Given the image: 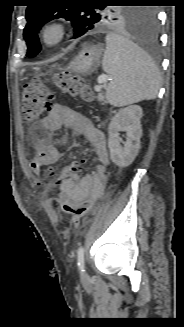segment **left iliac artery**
<instances>
[{"label": "left iliac artery", "instance_id": "left-iliac-artery-1", "mask_svg": "<svg viewBox=\"0 0 184 327\" xmlns=\"http://www.w3.org/2000/svg\"><path fill=\"white\" fill-rule=\"evenodd\" d=\"M77 264L81 272H84V247H80L77 251Z\"/></svg>", "mask_w": 184, "mask_h": 327}]
</instances>
